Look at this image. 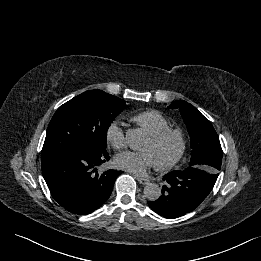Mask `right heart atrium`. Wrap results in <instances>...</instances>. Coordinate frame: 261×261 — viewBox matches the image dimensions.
<instances>
[{
  "instance_id": "d8ad5b80",
  "label": "right heart atrium",
  "mask_w": 261,
  "mask_h": 261,
  "mask_svg": "<svg viewBox=\"0 0 261 261\" xmlns=\"http://www.w3.org/2000/svg\"><path fill=\"white\" fill-rule=\"evenodd\" d=\"M107 143L114 149H122L126 145L123 129L118 121H112L106 128Z\"/></svg>"
}]
</instances>
